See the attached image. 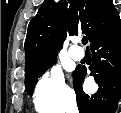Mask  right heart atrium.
I'll list each match as a JSON object with an SVG mask.
<instances>
[{
    "mask_svg": "<svg viewBox=\"0 0 121 113\" xmlns=\"http://www.w3.org/2000/svg\"><path fill=\"white\" fill-rule=\"evenodd\" d=\"M34 95L38 109L51 113L73 109V92L66 85L62 72L56 68L43 74L37 82Z\"/></svg>",
    "mask_w": 121,
    "mask_h": 113,
    "instance_id": "obj_1",
    "label": "right heart atrium"
}]
</instances>
